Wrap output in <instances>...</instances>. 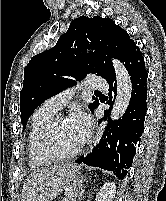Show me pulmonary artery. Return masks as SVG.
<instances>
[{
  "mask_svg": "<svg viewBox=\"0 0 166 201\" xmlns=\"http://www.w3.org/2000/svg\"><path fill=\"white\" fill-rule=\"evenodd\" d=\"M84 86L89 89H101L104 90L107 87L106 81L100 79L98 77H90L85 80ZM74 89H67L55 96H52L48 100L45 101L43 107L49 109L53 112H58L61 110L66 103L73 97Z\"/></svg>",
  "mask_w": 166,
  "mask_h": 201,
  "instance_id": "pulmonary-artery-1",
  "label": "pulmonary artery"
}]
</instances>
